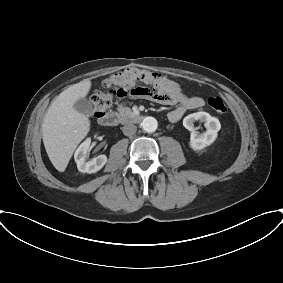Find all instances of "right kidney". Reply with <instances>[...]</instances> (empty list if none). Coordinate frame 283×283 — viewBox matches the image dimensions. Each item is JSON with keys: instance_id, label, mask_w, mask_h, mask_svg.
<instances>
[{"instance_id": "1", "label": "right kidney", "mask_w": 283, "mask_h": 283, "mask_svg": "<svg viewBox=\"0 0 283 283\" xmlns=\"http://www.w3.org/2000/svg\"><path fill=\"white\" fill-rule=\"evenodd\" d=\"M91 139H86L81 145L77 148L74 154V159L77 164V168L82 173H96L107 162L106 155H99L96 158L86 161L87 153L89 152Z\"/></svg>"}]
</instances>
